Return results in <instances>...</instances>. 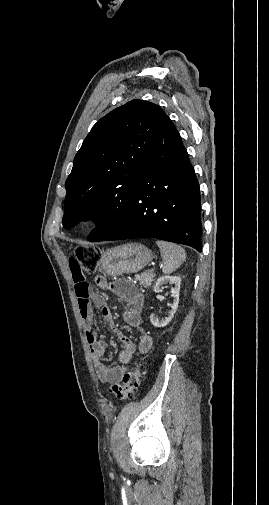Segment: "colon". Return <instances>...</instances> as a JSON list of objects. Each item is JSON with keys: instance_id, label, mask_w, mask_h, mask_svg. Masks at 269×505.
I'll return each mask as SVG.
<instances>
[{"instance_id": "colon-1", "label": "colon", "mask_w": 269, "mask_h": 505, "mask_svg": "<svg viewBox=\"0 0 269 505\" xmlns=\"http://www.w3.org/2000/svg\"><path fill=\"white\" fill-rule=\"evenodd\" d=\"M100 251L94 246H80L75 250V256L71 259L80 261V268L83 274H94L99 263ZM143 370L141 364H136L135 367L123 376L121 383L113 384L111 392L118 400H130L136 395Z\"/></svg>"}]
</instances>
